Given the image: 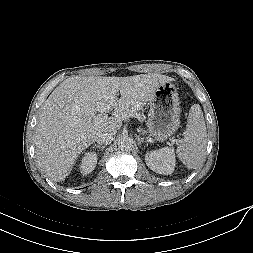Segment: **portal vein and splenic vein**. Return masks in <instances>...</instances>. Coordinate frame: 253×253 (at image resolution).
I'll return each instance as SVG.
<instances>
[{"instance_id":"1","label":"portal vein and splenic vein","mask_w":253,"mask_h":253,"mask_svg":"<svg viewBox=\"0 0 253 253\" xmlns=\"http://www.w3.org/2000/svg\"><path fill=\"white\" fill-rule=\"evenodd\" d=\"M107 117H108V115L106 113H101V114H98L97 116H95V119L100 120L102 118H107ZM172 142L178 144L179 141L177 139H173Z\"/></svg>"}]
</instances>
